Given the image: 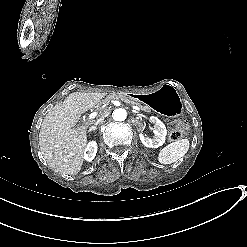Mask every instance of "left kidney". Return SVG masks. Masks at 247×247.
<instances>
[{
	"label": "left kidney",
	"instance_id": "left-kidney-1",
	"mask_svg": "<svg viewBox=\"0 0 247 247\" xmlns=\"http://www.w3.org/2000/svg\"><path fill=\"white\" fill-rule=\"evenodd\" d=\"M151 122L154 123V138L145 137L143 134H140V140L142 144L149 148H158L162 146L165 142V137L167 134L166 127L163 122H161L157 117H150Z\"/></svg>",
	"mask_w": 247,
	"mask_h": 247
}]
</instances>
